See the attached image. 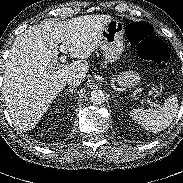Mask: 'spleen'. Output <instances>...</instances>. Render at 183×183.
Returning <instances> with one entry per match:
<instances>
[{"mask_svg":"<svg viewBox=\"0 0 183 183\" xmlns=\"http://www.w3.org/2000/svg\"><path fill=\"white\" fill-rule=\"evenodd\" d=\"M178 109V97L177 95H172L158 109H133L130 115L133 120L143 126L147 131L159 133L171 124Z\"/></svg>","mask_w":183,"mask_h":183,"instance_id":"1","label":"spleen"}]
</instances>
